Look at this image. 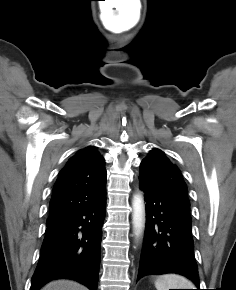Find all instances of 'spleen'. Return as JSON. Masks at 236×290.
Instances as JSON below:
<instances>
[{"label":"spleen","mask_w":236,"mask_h":290,"mask_svg":"<svg viewBox=\"0 0 236 290\" xmlns=\"http://www.w3.org/2000/svg\"><path fill=\"white\" fill-rule=\"evenodd\" d=\"M154 283L157 290L192 289L194 287L191 281L178 274L160 275Z\"/></svg>","instance_id":"obj_1"}]
</instances>
